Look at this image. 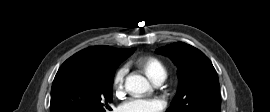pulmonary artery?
<instances>
[{
    "label": "pulmonary artery",
    "instance_id": "1",
    "mask_svg": "<svg viewBox=\"0 0 270 112\" xmlns=\"http://www.w3.org/2000/svg\"><path fill=\"white\" fill-rule=\"evenodd\" d=\"M164 79H165V77L157 78V79L154 81V83H155L156 85H161V84L163 83Z\"/></svg>",
    "mask_w": 270,
    "mask_h": 112
}]
</instances>
